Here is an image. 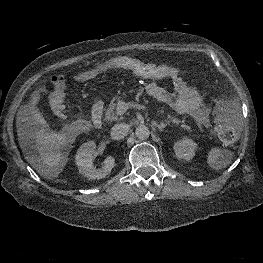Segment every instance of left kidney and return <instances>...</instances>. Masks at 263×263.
<instances>
[{
    "label": "left kidney",
    "mask_w": 263,
    "mask_h": 263,
    "mask_svg": "<svg viewBox=\"0 0 263 263\" xmlns=\"http://www.w3.org/2000/svg\"><path fill=\"white\" fill-rule=\"evenodd\" d=\"M196 148L197 144L192 139L186 137L177 141L173 146L176 156L187 161L194 157Z\"/></svg>",
    "instance_id": "left-kidney-1"
}]
</instances>
